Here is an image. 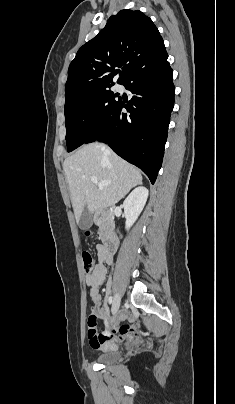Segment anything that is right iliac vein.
<instances>
[{
  "mask_svg": "<svg viewBox=\"0 0 235 404\" xmlns=\"http://www.w3.org/2000/svg\"><path fill=\"white\" fill-rule=\"evenodd\" d=\"M120 302H121L120 296L116 295L114 297V300H113V303H112V312L113 313H117V311H118V309L120 307Z\"/></svg>",
  "mask_w": 235,
  "mask_h": 404,
  "instance_id": "right-iliac-vein-1",
  "label": "right iliac vein"
}]
</instances>
